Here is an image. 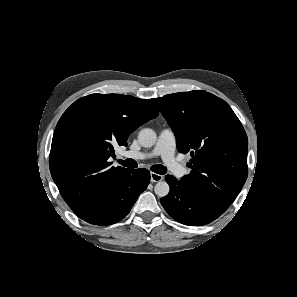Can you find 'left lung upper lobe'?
Masks as SVG:
<instances>
[{"mask_svg": "<svg viewBox=\"0 0 297 297\" xmlns=\"http://www.w3.org/2000/svg\"><path fill=\"white\" fill-rule=\"evenodd\" d=\"M152 101L172 128L179 152L192 157L182 183L224 212L248 175V139L238 117L224 100L202 90Z\"/></svg>", "mask_w": 297, "mask_h": 297, "instance_id": "left-lung-upper-lobe-1", "label": "left lung upper lobe"}]
</instances>
